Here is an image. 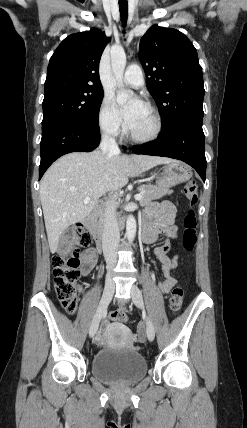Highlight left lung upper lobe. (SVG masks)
I'll return each instance as SVG.
<instances>
[{
	"instance_id": "1",
	"label": "left lung upper lobe",
	"mask_w": 247,
	"mask_h": 428,
	"mask_svg": "<svg viewBox=\"0 0 247 428\" xmlns=\"http://www.w3.org/2000/svg\"><path fill=\"white\" fill-rule=\"evenodd\" d=\"M138 56L164 125L177 117H203V73L197 51L183 33L152 26L140 40Z\"/></svg>"
}]
</instances>
